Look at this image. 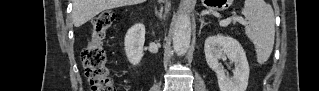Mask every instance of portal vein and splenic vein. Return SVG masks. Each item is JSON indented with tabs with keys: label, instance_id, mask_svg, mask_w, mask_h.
Segmentation results:
<instances>
[{
	"label": "portal vein and splenic vein",
	"instance_id": "obj_1",
	"mask_svg": "<svg viewBox=\"0 0 319 91\" xmlns=\"http://www.w3.org/2000/svg\"><path fill=\"white\" fill-rule=\"evenodd\" d=\"M232 20L238 21L240 23H244V20L242 18H232L228 20H223L220 22V26H226L228 25Z\"/></svg>",
	"mask_w": 319,
	"mask_h": 91
}]
</instances>
